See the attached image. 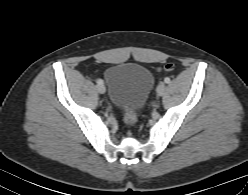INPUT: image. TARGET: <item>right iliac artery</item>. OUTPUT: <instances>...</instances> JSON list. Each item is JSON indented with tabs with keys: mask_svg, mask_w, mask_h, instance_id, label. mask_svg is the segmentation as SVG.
<instances>
[{
	"mask_svg": "<svg viewBox=\"0 0 248 195\" xmlns=\"http://www.w3.org/2000/svg\"><path fill=\"white\" fill-rule=\"evenodd\" d=\"M96 82L97 84H103V81L101 79H98Z\"/></svg>",
	"mask_w": 248,
	"mask_h": 195,
	"instance_id": "right-iliac-artery-1",
	"label": "right iliac artery"
}]
</instances>
